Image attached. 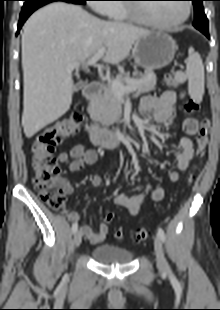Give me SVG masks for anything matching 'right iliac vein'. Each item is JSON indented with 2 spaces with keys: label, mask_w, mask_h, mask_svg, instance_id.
Returning a JSON list of instances; mask_svg holds the SVG:
<instances>
[{
  "label": "right iliac vein",
  "mask_w": 220,
  "mask_h": 310,
  "mask_svg": "<svg viewBox=\"0 0 220 310\" xmlns=\"http://www.w3.org/2000/svg\"><path fill=\"white\" fill-rule=\"evenodd\" d=\"M81 242H82V232L81 231H77L74 234V245H75V247H79Z\"/></svg>",
  "instance_id": "63e3f726"
}]
</instances>
